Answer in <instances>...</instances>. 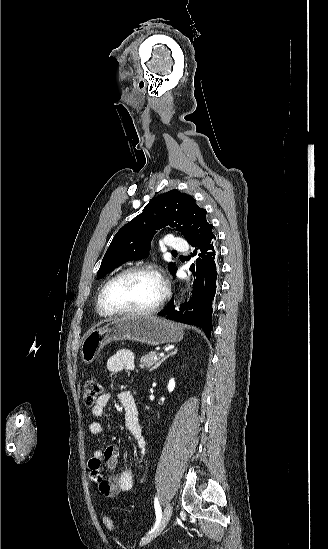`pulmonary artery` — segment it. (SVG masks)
<instances>
[{"mask_svg": "<svg viewBox=\"0 0 328 549\" xmlns=\"http://www.w3.org/2000/svg\"><path fill=\"white\" fill-rule=\"evenodd\" d=\"M165 248L168 252H183L185 244L183 241H174L172 238H169L166 241Z\"/></svg>", "mask_w": 328, "mask_h": 549, "instance_id": "e3ab8cb5", "label": "pulmonary artery"}]
</instances>
